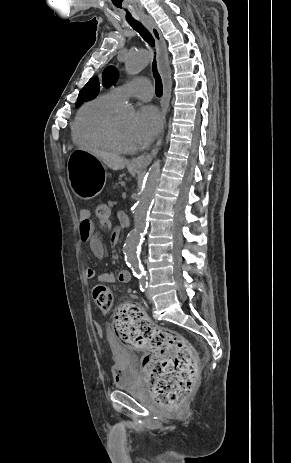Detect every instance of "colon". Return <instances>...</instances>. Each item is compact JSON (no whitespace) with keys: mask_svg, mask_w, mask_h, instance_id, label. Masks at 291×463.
Segmentation results:
<instances>
[{"mask_svg":"<svg viewBox=\"0 0 291 463\" xmlns=\"http://www.w3.org/2000/svg\"><path fill=\"white\" fill-rule=\"evenodd\" d=\"M93 214L100 226H109L112 203H97ZM92 297L101 310L113 306V294L106 285H96ZM113 325L124 344L146 351L142 373L156 401L170 408L184 403L197 380L196 356L187 341L178 333L157 329L134 304L119 305Z\"/></svg>","mask_w":291,"mask_h":463,"instance_id":"5ec220e1","label":"colon"}]
</instances>
